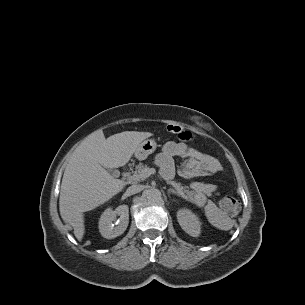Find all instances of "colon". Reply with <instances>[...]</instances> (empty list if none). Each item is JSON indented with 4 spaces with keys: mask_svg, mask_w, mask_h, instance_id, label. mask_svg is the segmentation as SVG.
<instances>
[{
    "mask_svg": "<svg viewBox=\"0 0 305 305\" xmlns=\"http://www.w3.org/2000/svg\"><path fill=\"white\" fill-rule=\"evenodd\" d=\"M167 131L169 133L178 135L180 138H184L186 136V133L178 125H168ZM220 205L223 211L230 217L235 216L240 209L239 201L230 195L223 197L220 201Z\"/></svg>",
    "mask_w": 305,
    "mask_h": 305,
    "instance_id": "1",
    "label": "colon"
}]
</instances>
